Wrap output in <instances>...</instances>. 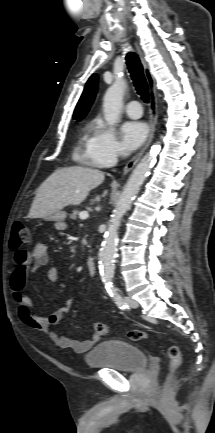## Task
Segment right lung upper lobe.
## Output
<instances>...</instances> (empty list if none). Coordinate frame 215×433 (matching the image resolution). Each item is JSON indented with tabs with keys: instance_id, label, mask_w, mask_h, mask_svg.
Wrapping results in <instances>:
<instances>
[{
	"instance_id": "obj_1",
	"label": "right lung upper lobe",
	"mask_w": 215,
	"mask_h": 433,
	"mask_svg": "<svg viewBox=\"0 0 215 433\" xmlns=\"http://www.w3.org/2000/svg\"><path fill=\"white\" fill-rule=\"evenodd\" d=\"M98 76L93 74L86 83L82 96L75 108L73 118L81 120L92 105L97 92Z\"/></svg>"
}]
</instances>
